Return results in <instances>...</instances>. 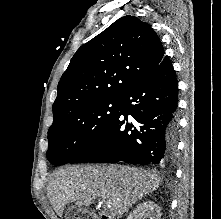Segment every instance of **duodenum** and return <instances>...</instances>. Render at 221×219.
Wrapping results in <instances>:
<instances>
[{"label": "duodenum", "instance_id": "410a0bca", "mask_svg": "<svg viewBox=\"0 0 221 219\" xmlns=\"http://www.w3.org/2000/svg\"><path fill=\"white\" fill-rule=\"evenodd\" d=\"M99 219H113V217L106 212H100Z\"/></svg>", "mask_w": 221, "mask_h": 219}]
</instances>
